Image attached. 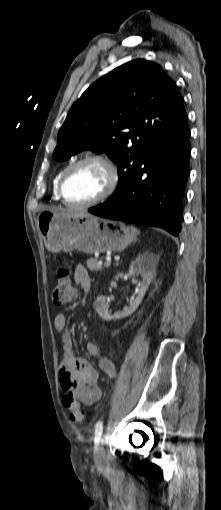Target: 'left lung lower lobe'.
<instances>
[{
	"instance_id": "obj_1",
	"label": "left lung lower lobe",
	"mask_w": 221,
	"mask_h": 510,
	"mask_svg": "<svg viewBox=\"0 0 221 510\" xmlns=\"http://www.w3.org/2000/svg\"><path fill=\"white\" fill-rule=\"evenodd\" d=\"M189 137L187 124L154 142L124 191L90 208L89 212L104 218L160 227L178 236L189 176Z\"/></svg>"
}]
</instances>
